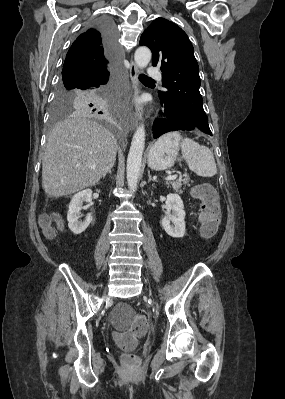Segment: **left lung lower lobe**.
I'll return each mask as SVG.
<instances>
[{"instance_id": "0a47b994", "label": "left lung lower lobe", "mask_w": 285, "mask_h": 399, "mask_svg": "<svg viewBox=\"0 0 285 399\" xmlns=\"http://www.w3.org/2000/svg\"><path fill=\"white\" fill-rule=\"evenodd\" d=\"M160 102L163 106L165 118L156 120L153 123L154 138H158L164 133L177 130L201 131L189 117L176 110L170 101L160 99Z\"/></svg>"}]
</instances>
